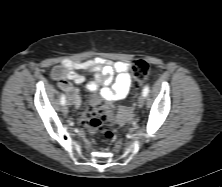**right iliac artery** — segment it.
Listing matches in <instances>:
<instances>
[{"label": "right iliac artery", "instance_id": "right-iliac-artery-1", "mask_svg": "<svg viewBox=\"0 0 222 187\" xmlns=\"http://www.w3.org/2000/svg\"><path fill=\"white\" fill-rule=\"evenodd\" d=\"M61 104L64 105L66 103V97L64 94L61 95Z\"/></svg>", "mask_w": 222, "mask_h": 187}]
</instances>
